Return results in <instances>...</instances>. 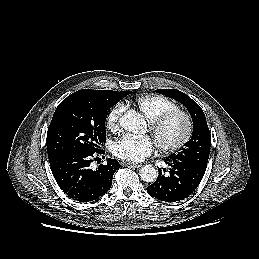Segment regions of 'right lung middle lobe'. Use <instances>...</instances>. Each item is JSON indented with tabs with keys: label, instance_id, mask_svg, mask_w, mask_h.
<instances>
[{
	"label": "right lung middle lobe",
	"instance_id": "dd1d6c3e",
	"mask_svg": "<svg viewBox=\"0 0 259 259\" xmlns=\"http://www.w3.org/2000/svg\"><path fill=\"white\" fill-rule=\"evenodd\" d=\"M120 100L84 90L64 99L48 128V158L66 151H97L106 138L108 111Z\"/></svg>",
	"mask_w": 259,
	"mask_h": 259
}]
</instances>
